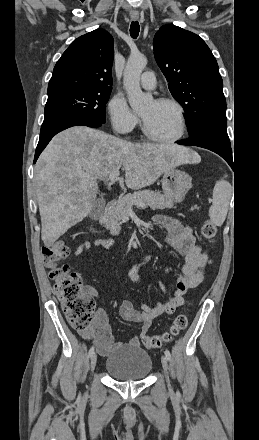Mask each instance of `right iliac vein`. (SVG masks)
I'll return each instance as SVG.
<instances>
[{
    "label": "right iliac vein",
    "instance_id": "obj_1",
    "mask_svg": "<svg viewBox=\"0 0 259 440\" xmlns=\"http://www.w3.org/2000/svg\"><path fill=\"white\" fill-rule=\"evenodd\" d=\"M96 362H97V355L96 353H93L90 359V368L91 371L93 372L96 366Z\"/></svg>",
    "mask_w": 259,
    "mask_h": 440
}]
</instances>
